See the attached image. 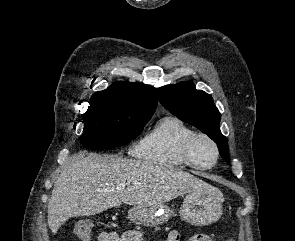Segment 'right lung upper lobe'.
<instances>
[{
	"instance_id": "right-lung-upper-lobe-1",
	"label": "right lung upper lobe",
	"mask_w": 295,
	"mask_h": 241,
	"mask_svg": "<svg viewBox=\"0 0 295 241\" xmlns=\"http://www.w3.org/2000/svg\"><path fill=\"white\" fill-rule=\"evenodd\" d=\"M93 95H103L117 99L124 104L148 113H154L157 95L153 87L141 83L116 82L104 91Z\"/></svg>"
}]
</instances>
